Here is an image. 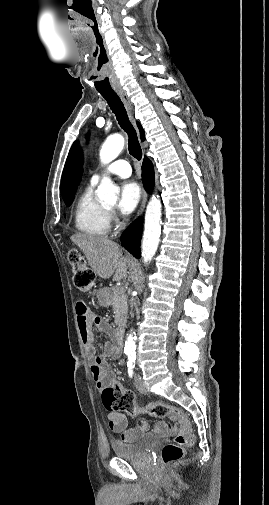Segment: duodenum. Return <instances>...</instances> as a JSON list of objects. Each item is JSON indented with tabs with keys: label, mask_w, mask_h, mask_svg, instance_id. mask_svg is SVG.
Returning a JSON list of instances; mask_svg holds the SVG:
<instances>
[{
	"label": "duodenum",
	"mask_w": 269,
	"mask_h": 505,
	"mask_svg": "<svg viewBox=\"0 0 269 505\" xmlns=\"http://www.w3.org/2000/svg\"><path fill=\"white\" fill-rule=\"evenodd\" d=\"M124 333H125V328L124 325H119L115 330H114V338L119 347L123 346L124 343Z\"/></svg>",
	"instance_id": "duodenum-1"
}]
</instances>
